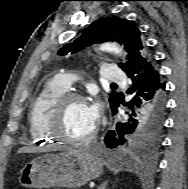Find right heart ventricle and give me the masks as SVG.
<instances>
[{
  "instance_id": "e07e8e85",
  "label": "right heart ventricle",
  "mask_w": 188,
  "mask_h": 189,
  "mask_svg": "<svg viewBox=\"0 0 188 189\" xmlns=\"http://www.w3.org/2000/svg\"><path fill=\"white\" fill-rule=\"evenodd\" d=\"M67 92V87L57 79L45 84L40 93L32 101L28 112L29 135L34 143H50L55 138L48 133V113L57 98Z\"/></svg>"
}]
</instances>
